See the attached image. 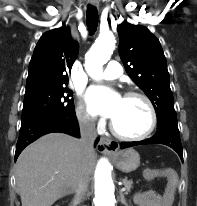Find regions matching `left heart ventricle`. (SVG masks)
<instances>
[{
  "label": "left heart ventricle",
  "mask_w": 197,
  "mask_h": 206,
  "mask_svg": "<svg viewBox=\"0 0 197 206\" xmlns=\"http://www.w3.org/2000/svg\"><path fill=\"white\" fill-rule=\"evenodd\" d=\"M116 128L128 135L146 131L150 123L149 110L139 98H121L117 113L112 118Z\"/></svg>",
  "instance_id": "1"
}]
</instances>
